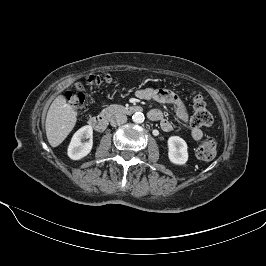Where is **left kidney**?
Listing matches in <instances>:
<instances>
[{
    "instance_id": "5707ae66",
    "label": "left kidney",
    "mask_w": 266,
    "mask_h": 266,
    "mask_svg": "<svg viewBox=\"0 0 266 266\" xmlns=\"http://www.w3.org/2000/svg\"><path fill=\"white\" fill-rule=\"evenodd\" d=\"M168 158L173 164L184 165L188 160L187 143L179 136L168 139Z\"/></svg>"
}]
</instances>
